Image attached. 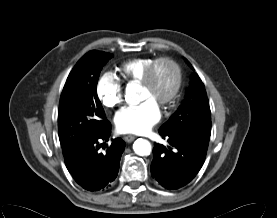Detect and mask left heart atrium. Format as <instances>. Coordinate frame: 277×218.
<instances>
[{"label": "left heart atrium", "mask_w": 277, "mask_h": 218, "mask_svg": "<svg viewBox=\"0 0 277 218\" xmlns=\"http://www.w3.org/2000/svg\"><path fill=\"white\" fill-rule=\"evenodd\" d=\"M159 118V108L153 99L122 109L117 115V128L123 132L143 131Z\"/></svg>", "instance_id": "left-heart-atrium-1"}]
</instances>
